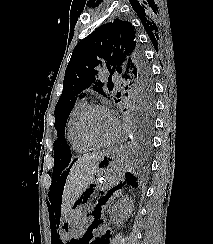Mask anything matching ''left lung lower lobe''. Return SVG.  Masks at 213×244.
Returning <instances> with one entry per match:
<instances>
[{"label":"left lung lower lobe","instance_id":"1","mask_svg":"<svg viewBox=\"0 0 213 244\" xmlns=\"http://www.w3.org/2000/svg\"><path fill=\"white\" fill-rule=\"evenodd\" d=\"M128 118L127 148L134 155L144 157L151 150L154 115L129 109ZM131 177L128 176V183Z\"/></svg>","mask_w":213,"mask_h":244}]
</instances>
